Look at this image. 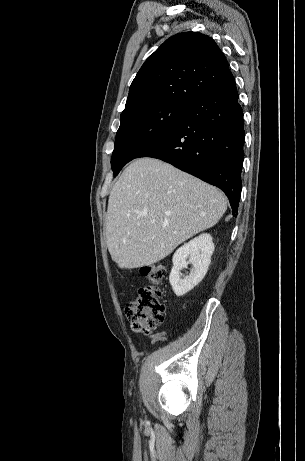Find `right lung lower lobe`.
Returning a JSON list of instances; mask_svg holds the SVG:
<instances>
[{"label":"right lung lower lobe","instance_id":"right-lung-lower-lobe-1","mask_svg":"<svg viewBox=\"0 0 305 461\" xmlns=\"http://www.w3.org/2000/svg\"><path fill=\"white\" fill-rule=\"evenodd\" d=\"M244 137L243 111L232 78L192 101L180 122L137 158L163 160L219 187L236 217Z\"/></svg>","mask_w":305,"mask_h":461}]
</instances>
